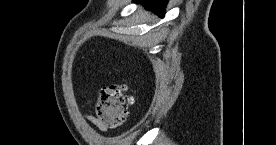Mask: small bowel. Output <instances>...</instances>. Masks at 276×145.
<instances>
[{
	"instance_id": "obj_1",
	"label": "small bowel",
	"mask_w": 276,
	"mask_h": 145,
	"mask_svg": "<svg viewBox=\"0 0 276 145\" xmlns=\"http://www.w3.org/2000/svg\"><path fill=\"white\" fill-rule=\"evenodd\" d=\"M91 105V99L88 98L84 104L85 107H89ZM85 120L90 123L91 125L95 126L97 129H99L101 132L107 133L108 128L103 125L95 116L91 114H85L84 115Z\"/></svg>"
}]
</instances>
